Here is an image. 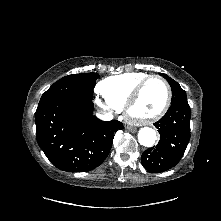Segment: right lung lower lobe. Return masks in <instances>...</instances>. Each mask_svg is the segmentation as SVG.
<instances>
[{"label": "right lung lower lobe", "instance_id": "right-lung-lower-lobe-1", "mask_svg": "<svg viewBox=\"0 0 221 221\" xmlns=\"http://www.w3.org/2000/svg\"><path fill=\"white\" fill-rule=\"evenodd\" d=\"M92 113L93 102L77 98H62L36 110L38 145L57 168L86 172L108 156L113 135L123 124L102 121Z\"/></svg>", "mask_w": 221, "mask_h": 221}]
</instances>
